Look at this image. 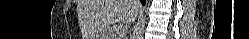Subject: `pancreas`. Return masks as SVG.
Listing matches in <instances>:
<instances>
[{
	"label": "pancreas",
	"mask_w": 249,
	"mask_h": 39,
	"mask_svg": "<svg viewBox=\"0 0 249 39\" xmlns=\"http://www.w3.org/2000/svg\"><path fill=\"white\" fill-rule=\"evenodd\" d=\"M108 36L109 38H112V39H117L118 37V33H117V29L116 28H111L108 32Z\"/></svg>",
	"instance_id": "pancreas-1"
}]
</instances>
